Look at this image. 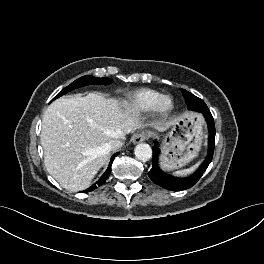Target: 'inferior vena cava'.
Here are the masks:
<instances>
[{"instance_id": "1", "label": "inferior vena cava", "mask_w": 264, "mask_h": 264, "mask_svg": "<svg viewBox=\"0 0 264 264\" xmlns=\"http://www.w3.org/2000/svg\"><path fill=\"white\" fill-rule=\"evenodd\" d=\"M123 146V142L119 139L112 140L108 143V147L110 150H116Z\"/></svg>"}]
</instances>
